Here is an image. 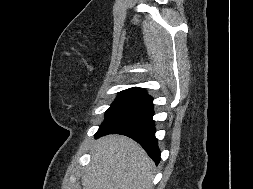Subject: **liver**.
<instances>
[{
	"mask_svg": "<svg viewBox=\"0 0 253 189\" xmlns=\"http://www.w3.org/2000/svg\"><path fill=\"white\" fill-rule=\"evenodd\" d=\"M82 177L83 189H152L154 162L143 148L123 135L98 139Z\"/></svg>",
	"mask_w": 253,
	"mask_h": 189,
	"instance_id": "liver-1",
	"label": "liver"
}]
</instances>
